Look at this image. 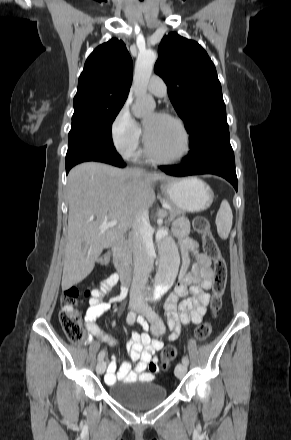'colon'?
Returning <instances> with one entry per match:
<instances>
[{"label":"colon","mask_w":291,"mask_h":440,"mask_svg":"<svg viewBox=\"0 0 291 440\" xmlns=\"http://www.w3.org/2000/svg\"><path fill=\"white\" fill-rule=\"evenodd\" d=\"M193 229L196 233L203 236L204 252L214 263L213 299L211 305L216 312L221 306V296L226 286L227 265L211 233L209 220L204 216L195 217L193 219ZM108 262V257L102 259L103 265H107ZM99 290L100 288H84L82 295L85 298H89ZM80 296L81 291L79 287L74 285L65 289L61 297L59 322L67 339L72 343H81L85 340V331L80 323L77 308ZM210 332V324L204 323L197 328L195 337L201 341L206 339ZM176 355L177 349L173 345L166 346L161 354L162 366L166 368Z\"/></svg>","instance_id":"colon-1"}]
</instances>
